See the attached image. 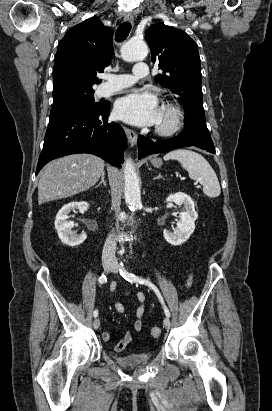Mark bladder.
<instances>
[{"instance_id":"obj_1","label":"bladder","mask_w":272,"mask_h":411,"mask_svg":"<svg viewBox=\"0 0 272 411\" xmlns=\"http://www.w3.org/2000/svg\"><path fill=\"white\" fill-rule=\"evenodd\" d=\"M153 357L152 353H139L129 355H114L113 360L126 369H136L147 365Z\"/></svg>"}]
</instances>
